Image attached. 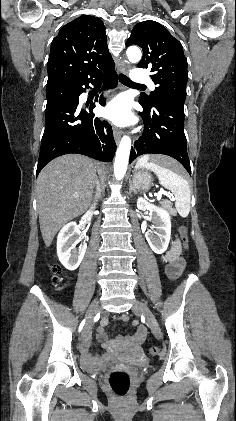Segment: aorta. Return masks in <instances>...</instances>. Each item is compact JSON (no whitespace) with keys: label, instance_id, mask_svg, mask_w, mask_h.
Listing matches in <instances>:
<instances>
[{"label":"aorta","instance_id":"aorta-1","mask_svg":"<svg viewBox=\"0 0 236 421\" xmlns=\"http://www.w3.org/2000/svg\"><path fill=\"white\" fill-rule=\"evenodd\" d=\"M126 54L131 62H138L142 56V52L138 46H129L126 50ZM131 148L130 136H122L119 146L116 150L115 162H114V174L115 178H123L129 160Z\"/></svg>","mask_w":236,"mask_h":421}]
</instances>
